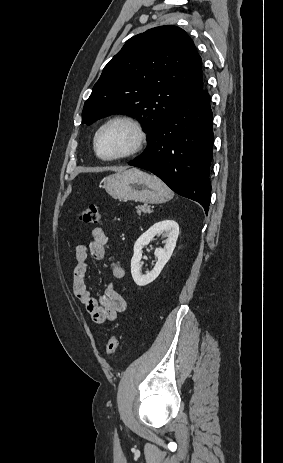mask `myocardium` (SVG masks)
<instances>
[{
    "label": "myocardium",
    "mask_w": 283,
    "mask_h": 463,
    "mask_svg": "<svg viewBox=\"0 0 283 463\" xmlns=\"http://www.w3.org/2000/svg\"><path fill=\"white\" fill-rule=\"evenodd\" d=\"M116 123L125 124L133 130L134 135H135L133 145L128 151L124 153L111 156V157H104L98 151L99 136L106 128ZM146 142H147V135H146L145 129L143 125L141 124V122L132 116L119 115V116L110 118L97 129L94 135V139H93V148H94L95 154L97 155L99 159L103 161H117V160H123V159H127V158L135 156L136 154H138L139 152L143 150V148L146 145Z\"/></svg>",
    "instance_id": "myocardium-1"
}]
</instances>
